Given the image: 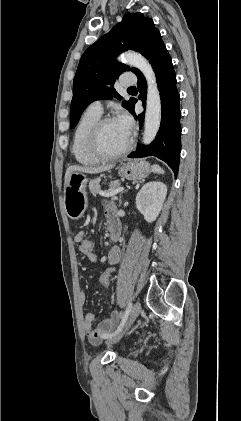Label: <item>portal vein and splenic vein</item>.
Returning <instances> with one entry per match:
<instances>
[{
  "instance_id": "18ae733b",
  "label": "portal vein and splenic vein",
  "mask_w": 241,
  "mask_h": 421,
  "mask_svg": "<svg viewBox=\"0 0 241 421\" xmlns=\"http://www.w3.org/2000/svg\"><path fill=\"white\" fill-rule=\"evenodd\" d=\"M123 189H124V187H118V188H116V189H114V190H111V191H108V192L100 191V192H99V194H100L101 196L114 198V197H115V195H116L117 193L121 192Z\"/></svg>"
}]
</instances>
